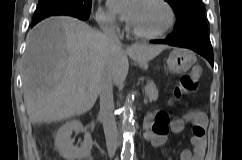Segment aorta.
I'll return each instance as SVG.
<instances>
[{
    "mask_svg": "<svg viewBox=\"0 0 242 160\" xmlns=\"http://www.w3.org/2000/svg\"><path fill=\"white\" fill-rule=\"evenodd\" d=\"M129 108V102H126ZM122 132H123V147L121 152V160H132L134 153L133 139L135 135V126L133 120V114L127 112L124 114L122 121Z\"/></svg>",
    "mask_w": 242,
    "mask_h": 160,
    "instance_id": "aorta-1",
    "label": "aorta"
}]
</instances>
